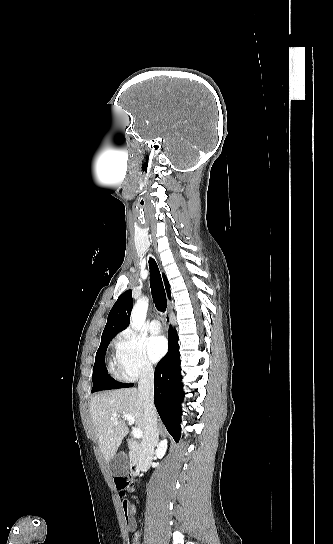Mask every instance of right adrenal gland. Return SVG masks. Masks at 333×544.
I'll return each instance as SVG.
<instances>
[{
	"mask_svg": "<svg viewBox=\"0 0 333 544\" xmlns=\"http://www.w3.org/2000/svg\"><path fill=\"white\" fill-rule=\"evenodd\" d=\"M158 443H159V431L157 432V440H156V446L158 447Z\"/></svg>",
	"mask_w": 333,
	"mask_h": 544,
	"instance_id": "right-adrenal-gland-1",
	"label": "right adrenal gland"
}]
</instances>
